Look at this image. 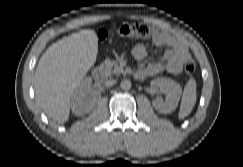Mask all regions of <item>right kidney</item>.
Returning <instances> with one entry per match:
<instances>
[{"instance_id": "right-kidney-1", "label": "right kidney", "mask_w": 243, "mask_h": 167, "mask_svg": "<svg viewBox=\"0 0 243 167\" xmlns=\"http://www.w3.org/2000/svg\"><path fill=\"white\" fill-rule=\"evenodd\" d=\"M92 79L85 78L75 89L70 101L72 112L75 115L88 113L95 107L98 97L91 91Z\"/></svg>"}]
</instances>
